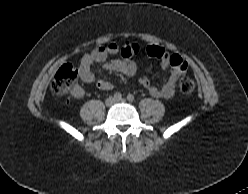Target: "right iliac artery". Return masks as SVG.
Segmentation results:
<instances>
[{"mask_svg":"<svg viewBox=\"0 0 248 194\" xmlns=\"http://www.w3.org/2000/svg\"><path fill=\"white\" fill-rule=\"evenodd\" d=\"M121 98H122V94H121V93L116 92V93L114 94V99L119 100V99H121Z\"/></svg>","mask_w":248,"mask_h":194,"instance_id":"82829eb1","label":"right iliac artery"}]
</instances>
